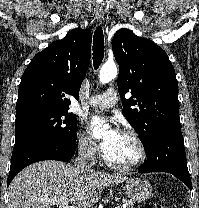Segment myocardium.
<instances>
[{
	"label": "myocardium",
	"instance_id": "f54148a6",
	"mask_svg": "<svg viewBox=\"0 0 199 208\" xmlns=\"http://www.w3.org/2000/svg\"><path fill=\"white\" fill-rule=\"evenodd\" d=\"M120 133L126 136H129L136 143L139 149L138 158L131 163H118V162L111 160L104 152L103 160L109 167L117 169V170L128 171V170L135 169L139 167L140 165H142L147 158L146 145L144 141L142 140V138L140 137V135L132 129H123L121 130Z\"/></svg>",
	"mask_w": 199,
	"mask_h": 208
}]
</instances>
